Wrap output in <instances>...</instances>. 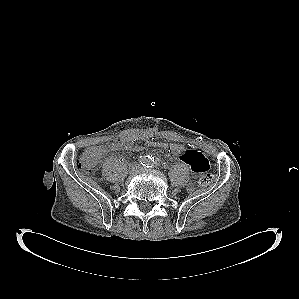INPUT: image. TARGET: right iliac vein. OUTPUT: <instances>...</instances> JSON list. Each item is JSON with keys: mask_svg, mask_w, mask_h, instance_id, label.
<instances>
[{"mask_svg": "<svg viewBox=\"0 0 299 299\" xmlns=\"http://www.w3.org/2000/svg\"><path fill=\"white\" fill-rule=\"evenodd\" d=\"M136 168H137V165L132 164V165L129 167V171H130V172H133V171H135Z\"/></svg>", "mask_w": 299, "mask_h": 299, "instance_id": "1", "label": "right iliac vein"}]
</instances>
